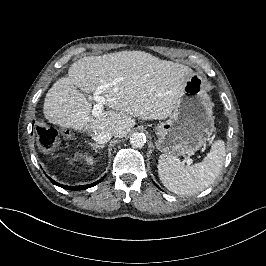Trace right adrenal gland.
I'll return each mask as SVG.
<instances>
[{"instance_id":"right-adrenal-gland-1","label":"right adrenal gland","mask_w":266,"mask_h":266,"mask_svg":"<svg viewBox=\"0 0 266 266\" xmlns=\"http://www.w3.org/2000/svg\"><path fill=\"white\" fill-rule=\"evenodd\" d=\"M88 144L92 146V148H93V150H95V152H98L97 149H103L105 147L104 145H98L96 143H91V142H89Z\"/></svg>"}]
</instances>
